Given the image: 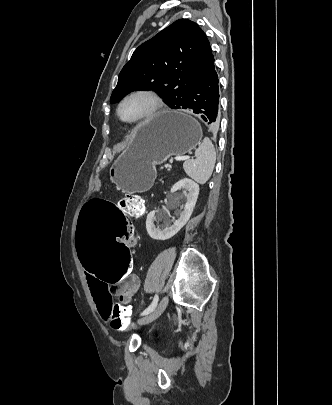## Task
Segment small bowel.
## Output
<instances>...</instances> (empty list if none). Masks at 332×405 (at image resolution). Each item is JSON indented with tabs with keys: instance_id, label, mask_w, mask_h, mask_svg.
<instances>
[{
	"instance_id": "c3829d8e",
	"label": "small bowel",
	"mask_w": 332,
	"mask_h": 405,
	"mask_svg": "<svg viewBox=\"0 0 332 405\" xmlns=\"http://www.w3.org/2000/svg\"><path fill=\"white\" fill-rule=\"evenodd\" d=\"M138 240L137 233V242ZM86 279L97 311L106 321H109L108 312L112 303V296H117L124 307H130L129 303L140 287V278L133 272L129 275V280L121 281L118 287H109L107 281H98V275H86Z\"/></svg>"
}]
</instances>
